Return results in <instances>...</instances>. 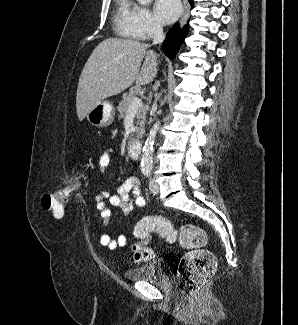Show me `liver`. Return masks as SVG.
Wrapping results in <instances>:
<instances>
[{"mask_svg":"<svg viewBox=\"0 0 298 325\" xmlns=\"http://www.w3.org/2000/svg\"><path fill=\"white\" fill-rule=\"evenodd\" d=\"M149 46L129 38H105L95 46L83 66L76 90L79 120L96 104L120 94L134 82L139 88L156 78L160 54L148 50Z\"/></svg>","mask_w":298,"mask_h":325,"instance_id":"6515ba94","label":"liver"}]
</instances>
